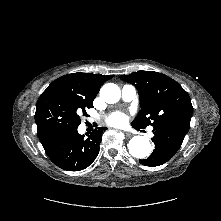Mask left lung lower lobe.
<instances>
[{
  "label": "left lung lower lobe",
  "instance_id": "0a47b994",
  "mask_svg": "<svg viewBox=\"0 0 221 221\" xmlns=\"http://www.w3.org/2000/svg\"><path fill=\"white\" fill-rule=\"evenodd\" d=\"M152 132L155 149L148 158L139 160L142 165L149 167L159 166L169 161L179 150L187 133L172 127H156Z\"/></svg>",
  "mask_w": 221,
  "mask_h": 221
}]
</instances>
